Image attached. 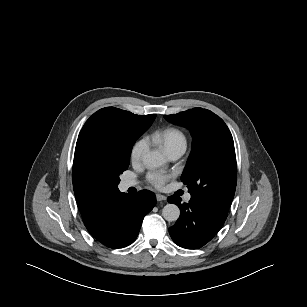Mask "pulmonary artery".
<instances>
[{"label":"pulmonary artery","instance_id":"obj_1","mask_svg":"<svg viewBox=\"0 0 307 307\" xmlns=\"http://www.w3.org/2000/svg\"><path fill=\"white\" fill-rule=\"evenodd\" d=\"M185 152V149L184 148H178V149H175L171 152L168 153V156L171 160H177L178 158H180ZM136 185V182L133 181V180H124L123 183H122V188L123 189H128L130 187H133ZM191 199V195L190 194H187L185 196V201H190Z\"/></svg>","mask_w":307,"mask_h":307}]
</instances>
